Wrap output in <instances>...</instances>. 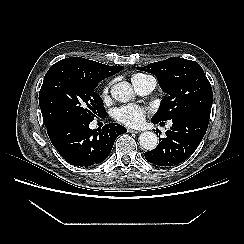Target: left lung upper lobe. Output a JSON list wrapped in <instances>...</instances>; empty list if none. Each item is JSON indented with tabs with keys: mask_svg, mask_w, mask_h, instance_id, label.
Listing matches in <instances>:
<instances>
[{
	"mask_svg": "<svg viewBox=\"0 0 244 244\" xmlns=\"http://www.w3.org/2000/svg\"><path fill=\"white\" fill-rule=\"evenodd\" d=\"M137 69L154 74L168 95L153 120L166 121L187 113L210 117L212 88L197 62L171 57Z\"/></svg>",
	"mask_w": 244,
	"mask_h": 244,
	"instance_id": "1",
	"label": "left lung upper lobe"
}]
</instances>
